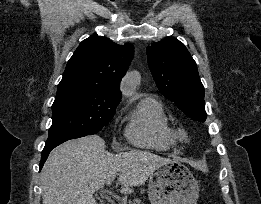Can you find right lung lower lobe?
I'll return each instance as SVG.
<instances>
[{
	"instance_id": "98d812e1",
	"label": "right lung lower lobe",
	"mask_w": 261,
	"mask_h": 204,
	"mask_svg": "<svg viewBox=\"0 0 261 204\" xmlns=\"http://www.w3.org/2000/svg\"><path fill=\"white\" fill-rule=\"evenodd\" d=\"M65 141L66 140H61V141H55V142L45 144V147L42 151V157H41V161H40V165H39L40 169L43 167V164L46 161L51 150Z\"/></svg>"
}]
</instances>
